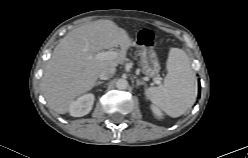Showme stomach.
<instances>
[{
  "mask_svg": "<svg viewBox=\"0 0 248 158\" xmlns=\"http://www.w3.org/2000/svg\"><path fill=\"white\" fill-rule=\"evenodd\" d=\"M141 67L145 75L154 77L160 71V64L153 49L142 47L140 51Z\"/></svg>",
  "mask_w": 248,
  "mask_h": 158,
  "instance_id": "0dacf381",
  "label": "stomach"
}]
</instances>
